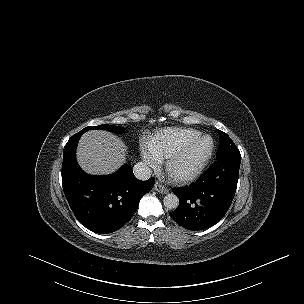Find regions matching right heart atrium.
Segmentation results:
<instances>
[{
    "instance_id": "obj_1",
    "label": "right heart atrium",
    "mask_w": 304,
    "mask_h": 304,
    "mask_svg": "<svg viewBox=\"0 0 304 304\" xmlns=\"http://www.w3.org/2000/svg\"><path fill=\"white\" fill-rule=\"evenodd\" d=\"M141 154L144 162L151 167H157L160 164L161 158L152 151L151 148L143 146L141 148Z\"/></svg>"
}]
</instances>
